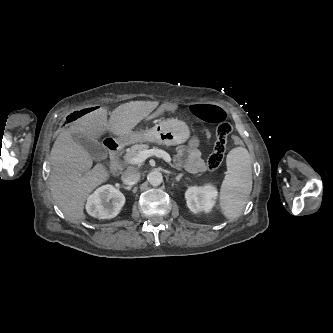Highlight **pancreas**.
Returning <instances> with one entry per match:
<instances>
[{"mask_svg": "<svg viewBox=\"0 0 333 333\" xmlns=\"http://www.w3.org/2000/svg\"><path fill=\"white\" fill-rule=\"evenodd\" d=\"M149 147H150L149 144H143V143L135 144L126 151L124 158L126 160H130V159L136 157L140 151L145 150V149L148 150Z\"/></svg>", "mask_w": 333, "mask_h": 333, "instance_id": "obj_1", "label": "pancreas"}]
</instances>
